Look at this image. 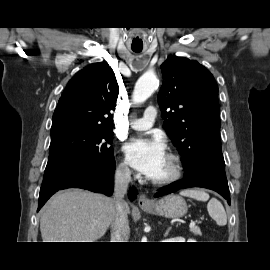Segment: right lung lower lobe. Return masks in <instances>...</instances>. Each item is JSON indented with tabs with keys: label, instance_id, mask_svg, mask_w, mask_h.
<instances>
[{
	"label": "right lung lower lobe",
	"instance_id": "right-lung-lower-lobe-1",
	"mask_svg": "<svg viewBox=\"0 0 270 270\" xmlns=\"http://www.w3.org/2000/svg\"><path fill=\"white\" fill-rule=\"evenodd\" d=\"M115 162L102 167L89 155L72 156L57 160L46 166L40 189L38 210L58 190L82 188L93 192L111 195L114 186ZM135 188L130 189L129 198L136 197Z\"/></svg>",
	"mask_w": 270,
	"mask_h": 270
}]
</instances>
